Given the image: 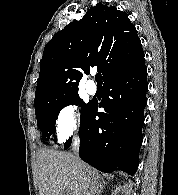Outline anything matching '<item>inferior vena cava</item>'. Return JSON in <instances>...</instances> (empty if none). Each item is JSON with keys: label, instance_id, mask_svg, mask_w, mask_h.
Here are the masks:
<instances>
[{"label": "inferior vena cava", "instance_id": "1", "mask_svg": "<svg viewBox=\"0 0 178 195\" xmlns=\"http://www.w3.org/2000/svg\"><path fill=\"white\" fill-rule=\"evenodd\" d=\"M77 149H78V147L75 146V150H76V151H77ZM76 155H77V152H76ZM76 157L78 158V156H76ZM78 159H79V158H78ZM94 194L98 195V188L95 189Z\"/></svg>", "mask_w": 178, "mask_h": 195}]
</instances>
